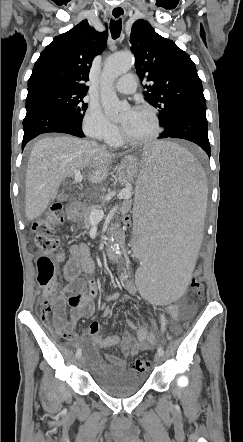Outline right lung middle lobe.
Here are the masks:
<instances>
[{"mask_svg": "<svg viewBox=\"0 0 243 442\" xmlns=\"http://www.w3.org/2000/svg\"><path fill=\"white\" fill-rule=\"evenodd\" d=\"M85 94L63 90H50L42 94L26 98V102L34 100L50 101L61 106L78 124L82 125L87 104L83 101Z\"/></svg>", "mask_w": 243, "mask_h": 442, "instance_id": "obj_1", "label": "right lung middle lobe"}]
</instances>
